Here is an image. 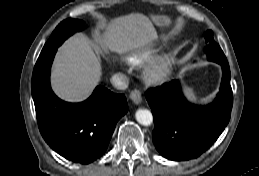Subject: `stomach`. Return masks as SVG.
Wrapping results in <instances>:
<instances>
[{
	"mask_svg": "<svg viewBox=\"0 0 259 176\" xmlns=\"http://www.w3.org/2000/svg\"><path fill=\"white\" fill-rule=\"evenodd\" d=\"M153 21L157 24V25H159V26H164V25H166L167 24V18L165 17V16H154L153 17ZM186 92H187V94H188V96L191 98V99H196V96H195V93H194V91H193V89L192 88H190V87H188L187 89H186Z\"/></svg>",
	"mask_w": 259,
	"mask_h": 176,
	"instance_id": "1",
	"label": "stomach"
}]
</instances>
